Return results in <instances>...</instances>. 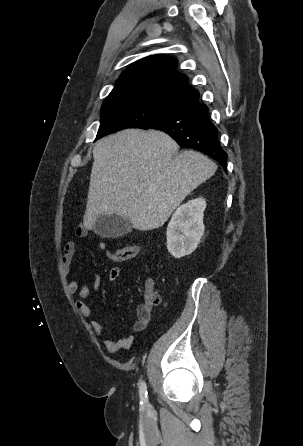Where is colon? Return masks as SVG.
Segmentation results:
<instances>
[{"instance_id":"1","label":"colon","mask_w":303,"mask_h":446,"mask_svg":"<svg viewBox=\"0 0 303 446\" xmlns=\"http://www.w3.org/2000/svg\"><path fill=\"white\" fill-rule=\"evenodd\" d=\"M141 248L140 244H131L114 252L107 251V256L113 262L120 263L136 257L141 251ZM160 301L161 295L157 291H153L149 294V302L151 304L156 305L160 303Z\"/></svg>"}]
</instances>
